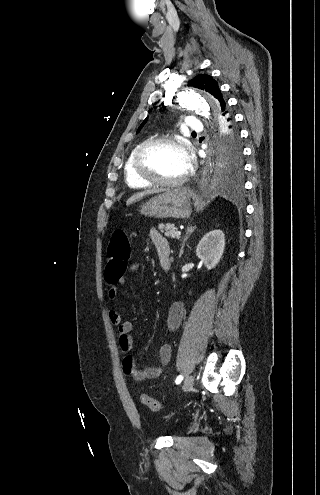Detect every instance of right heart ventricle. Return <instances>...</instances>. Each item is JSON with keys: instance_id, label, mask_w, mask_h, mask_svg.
Masks as SVG:
<instances>
[{"instance_id": "right-heart-ventricle-1", "label": "right heart ventricle", "mask_w": 320, "mask_h": 495, "mask_svg": "<svg viewBox=\"0 0 320 495\" xmlns=\"http://www.w3.org/2000/svg\"><path fill=\"white\" fill-rule=\"evenodd\" d=\"M139 146L140 145L136 146L134 149L131 150V152L129 153V155L127 156V158L125 160L124 167H123L124 178H125L127 185L129 187L135 188V189L148 188L152 185L151 183L139 178L134 172L133 159H134V155H135Z\"/></svg>"}]
</instances>
